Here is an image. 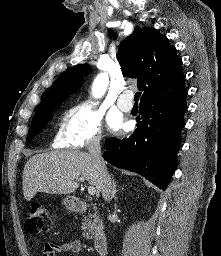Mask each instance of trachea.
Returning <instances> with one entry per match:
<instances>
[{"label":"trachea","mask_w":221,"mask_h":256,"mask_svg":"<svg viewBox=\"0 0 221 256\" xmlns=\"http://www.w3.org/2000/svg\"><path fill=\"white\" fill-rule=\"evenodd\" d=\"M140 96H141V92H137V93L135 94L134 100H135L136 103L138 102Z\"/></svg>","instance_id":"3493384b"}]
</instances>
